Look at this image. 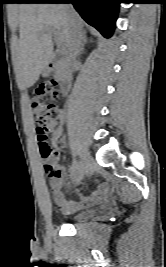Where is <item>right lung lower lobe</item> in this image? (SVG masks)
<instances>
[{"instance_id":"obj_1","label":"right lung lower lobe","mask_w":166,"mask_h":267,"mask_svg":"<svg viewBox=\"0 0 166 267\" xmlns=\"http://www.w3.org/2000/svg\"><path fill=\"white\" fill-rule=\"evenodd\" d=\"M20 3H72L82 18L107 38L114 31L120 4L118 0H25Z\"/></svg>"}]
</instances>
